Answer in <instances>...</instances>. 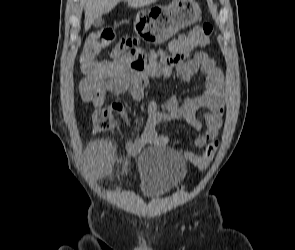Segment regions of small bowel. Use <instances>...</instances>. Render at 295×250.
<instances>
[{"label": "small bowel", "instance_id": "obj_1", "mask_svg": "<svg viewBox=\"0 0 295 250\" xmlns=\"http://www.w3.org/2000/svg\"><path fill=\"white\" fill-rule=\"evenodd\" d=\"M193 49L194 47H181L177 39L167 49L145 50L137 45L135 38L124 37L113 49L111 61L104 63L106 68L86 74L81 80L79 93L82 100L100 109L104 106L107 95L118 96L128 92L134 100L141 101L149 80L169 77L173 69L182 81L189 80L198 71L206 76L204 91L182 101L175 95L162 102L152 98L147 107V122L140 130L134 129L122 104L110 105L134 130V141L126 145V151L130 155H137L147 145H169V137L158 134L157 126L173 120H184L194 129L202 131L193 142L197 148H203L217 138L226 106L223 75L216 62L205 52L193 53ZM200 109L207 110L203 115V122L196 116ZM113 151V145L108 140H97L89 144L86 157L95 174L106 175L110 172ZM182 152L186 158L193 154Z\"/></svg>", "mask_w": 295, "mask_h": 250}]
</instances>
